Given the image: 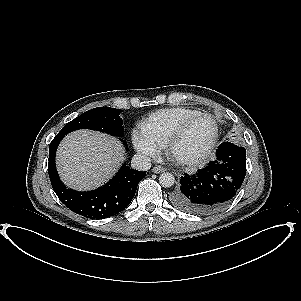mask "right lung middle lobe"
I'll use <instances>...</instances> for the list:
<instances>
[{
  "label": "right lung middle lobe",
  "instance_id": "1",
  "mask_svg": "<svg viewBox=\"0 0 301 301\" xmlns=\"http://www.w3.org/2000/svg\"><path fill=\"white\" fill-rule=\"evenodd\" d=\"M121 109L98 107L86 111L82 115L68 122L58 135L65 136L78 129H92L105 132L114 136H122L124 129L119 117Z\"/></svg>",
  "mask_w": 301,
  "mask_h": 301
}]
</instances>
